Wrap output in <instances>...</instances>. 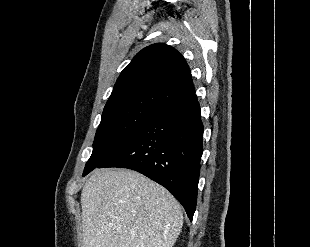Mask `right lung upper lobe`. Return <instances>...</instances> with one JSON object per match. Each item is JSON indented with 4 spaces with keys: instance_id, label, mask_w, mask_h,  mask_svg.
Returning a JSON list of instances; mask_svg holds the SVG:
<instances>
[{
    "instance_id": "right-lung-upper-lobe-1",
    "label": "right lung upper lobe",
    "mask_w": 310,
    "mask_h": 247,
    "mask_svg": "<svg viewBox=\"0 0 310 247\" xmlns=\"http://www.w3.org/2000/svg\"><path fill=\"white\" fill-rule=\"evenodd\" d=\"M194 93L183 56L169 45L156 43L142 49L121 72L103 114L135 106L161 111Z\"/></svg>"
}]
</instances>
